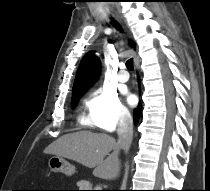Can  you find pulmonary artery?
Returning a JSON list of instances; mask_svg holds the SVG:
<instances>
[{"label": "pulmonary artery", "instance_id": "e3ab8cb5", "mask_svg": "<svg viewBox=\"0 0 210 191\" xmlns=\"http://www.w3.org/2000/svg\"><path fill=\"white\" fill-rule=\"evenodd\" d=\"M128 79H129V74L125 70L124 65L122 64V65H120V70L118 72V80H119V82L124 83V82H127Z\"/></svg>", "mask_w": 210, "mask_h": 191}]
</instances>
